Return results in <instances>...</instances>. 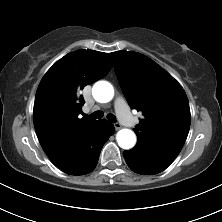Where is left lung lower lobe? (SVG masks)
Instances as JSON below:
<instances>
[{
  "label": "left lung lower lobe",
  "mask_w": 222,
  "mask_h": 222,
  "mask_svg": "<svg viewBox=\"0 0 222 222\" xmlns=\"http://www.w3.org/2000/svg\"><path fill=\"white\" fill-rule=\"evenodd\" d=\"M123 156L129 168L138 174H157L171 164L140 147L124 151Z\"/></svg>",
  "instance_id": "1"
}]
</instances>
